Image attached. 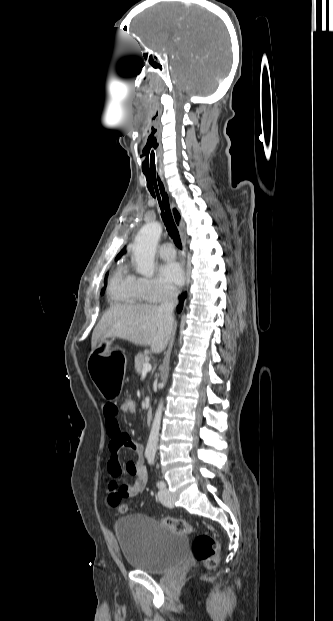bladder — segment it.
I'll use <instances>...</instances> for the list:
<instances>
[{
    "label": "bladder",
    "mask_w": 333,
    "mask_h": 621,
    "mask_svg": "<svg viewBox=\"0 0 333 621\" xmlns=\"http://www.w3.org/2000/svg\"><path fill=\"white\" fill-rule=\"evenodd\" d=\"M115 533L127 565L152 575L170 572L187 556L189 540L160 521L144 514L118 519Z\"/></svg>",
    "instance_id": "obj_1"
}]
</instances>
